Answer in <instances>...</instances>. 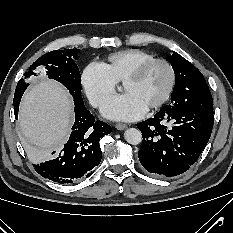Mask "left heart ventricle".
Instances as JSON below:
<instances>
[{
  "label": "left heart ventricle",
  "mask_w": 233,
  "mask_h": 233,
  "mask_svg": "<svg viewBox=\"0 0 233 233\" xmlns=\"http://www.w3.org/2000/svg\"><path fill=\"white\" fill-rule=\"evenodd\" d=\"M169 81V74L165 66H152L139 80L127 82L123 89L133 94L147 108L164 94Z\"/></svg>",
  "instance_id": "left-heart-ventricle-1"
}]
</instances>
